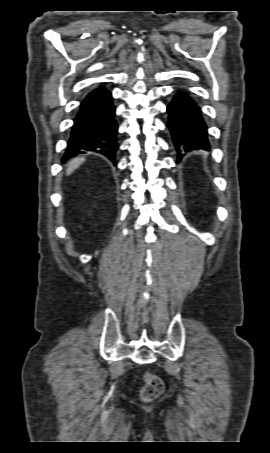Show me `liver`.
I'll use <instances>...</instances> for the list:
<instances>
[{
  "label": "liver",
  "instance_id": "obj_1",
  "mask_svg": "<svg viewBox=\"0 0 270 453\" xmlns=\"http://www.w3.org/2000/svg\"><path fill=\"white\" fill-rule=\"evenodd\" d=\"M85 161V158L83 157H78L72 159L68 165H67V170L66 174L70 175L74 170H76L83 162Z\"/></svg>",
  "mask_w": 270,
  "mask_h": 453
}]
</instances>
